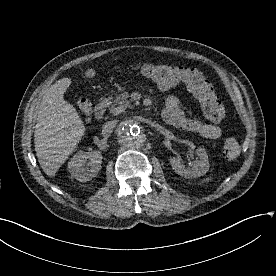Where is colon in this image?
Returning a JSON list of instances; mask_svg holds the SVG:
<instances>
[{
  "label": "colon",
  "instance_id": "1",
  "mask_svg": "<svg viewBox=\"0 0 276 276\" xmlns=\"http://www.w3.org/2000/svg\"><path fill=\"white\" fill-rule=\"evenodd\" d=\"M136 68L160 87L170 88L184 84L198 99L205 117L210 122L219 123L224 119L225 109L221 100L217 97L211 81L199 70L187 66L149 63L138 64ZM78 107L84 115H90L92 106L88 100H81ZM222 153L226 159L236 158L240 153L238 141L234 138L226 139Z\"/></svg>",
  "mask_w": 276,
  "mask_h": 276
}]
</instances>
